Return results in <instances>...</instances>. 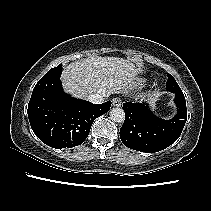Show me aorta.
Returning <instances> with one entry per match:
<instances>
[{"mask_svg":"<svg viewBox=\"0 0 211 211\" xmlns=\"http://www.w3.org/2000/svg\"><path fill=\"white\" fill-rule=\"evenodd\" d=\"M110 117L113 121L122 123L125 120V113L121 108H113L110 111Z\"/></svg>","mask_w":211,"mask_h":211,"instance_id":"762f6f07","label":"aorta"}]
</instances>
